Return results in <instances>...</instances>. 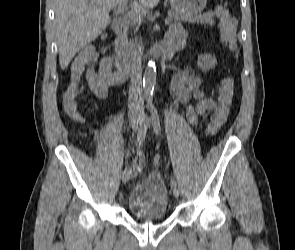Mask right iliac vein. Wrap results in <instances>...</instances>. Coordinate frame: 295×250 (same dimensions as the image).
Listing matches in <instances>:
<instances>
[{"instance_id": "obj_1", "label": "right iliac vein", "mask_w": 295, "mask_h": 250, "mask_svg": "<svg viewBox=\"0 0 295 250\" xmlns=\"http://www.w3.org/2000/svg\"><path fill=\"white\" fill-rule=\"evenodd\" d=\"M140 123H141L140 118L133 117L131 119V128H132V130L137 131L139 129V127H140ZM130 178H131V175L129 173H123V175H122L123 183L128 182L130 180Z\"/></svg>"}]
</instances>
